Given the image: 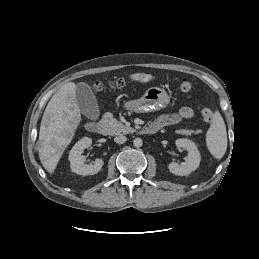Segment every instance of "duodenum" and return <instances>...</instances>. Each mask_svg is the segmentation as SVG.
<instances>
[{"mask_svg": "<svg viewBox=\"0 0 259 259\" xmlns=\"http://www.w3.org/2000/svg\"><path fill=\"white\" fill-rule=\"evenodd\" d=\"M86 130L93 134H104L105 133L104 125L100 122H94V121L88 122L86 124ZM158 130H159V128L156 125L151 124L144 129V132L148 133V134H153V133H156Z\"/></svg>", "mask_w": 259, "mask_h": 259, "instance_id": "1", "label": "duodenum"}]
</instances>
